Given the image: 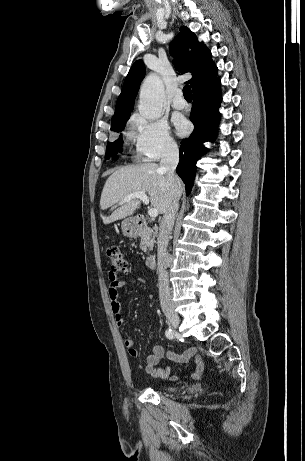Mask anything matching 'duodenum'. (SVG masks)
<instances>
[{
  "mask_svg": "<svg viewBox=\"0 0 305 461\" xmlns=\"http://www.w3.org/2000/svg\"><path fill=\"white\" fill-rule=\"evenodd\" d=\"M134 225H135V228L137 229V231L139 233L144 232L146 230V228H147L146 221L143 218L135 219L134 220ZM155 262H156V258H155L154 255H149L145 259V264H146L147 268H153L154 265H155Z\"/></svg>",
  "mask_w": 305,
  "mask_h": 461,
  "instance_id": "duodenum-1",
  "label": "duodenum"
}]
</instances>
